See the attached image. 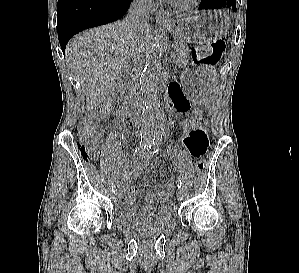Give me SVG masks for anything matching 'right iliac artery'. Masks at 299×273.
I'll use <instances>...</instances> for the list:
<instances>
[{
	"label": "right iliac artery",
	"mask_w": 299,
	"mask_h": 273,
	"mask_svg": "<svg viewBox=\"0 0 299 273\" xmlns=\"http://www.w3.org/2000/svg\"><path fill=\"white\" fill-rule=\"evenodd\" d=\"M148 143L147 142H140L138 147L135 149L134 151V155H141L145 149L147 148ZM114 189V187H112V190ZM115 193V190H114Z\"/></svg>",
	"instance_id": "obj_1"
}]
</instances>
